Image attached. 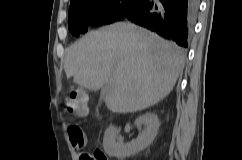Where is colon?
Here are the masks:
<instances>
[{
    "label": "colon",
    "mask_w": 242,
    "mask_h": 160,
    "mask_svg": "<svg viewBox=\"0 0 242 160\" xmlns=\"http://www.w3.org/2000/svg\"><path fill=\"white\" fill-rule=\"evenodd\" d=\"M64 109L69 113H78L88 111V102L85 94L81 91H71L64 98ZM67 132L71 137L73 144L81 147L84 143V134L82 129L76 124H69ZM82 160H108L106 155L100 151H94L92 154L84 153Z\"/></svg>",
    "instance_id": "obj_1"
}]
</instances>
